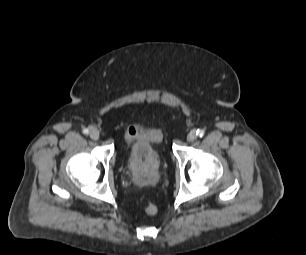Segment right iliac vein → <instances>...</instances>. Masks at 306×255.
I'll list each match as a JSON object with an SVG mask.
<instances>
[{"mask_svg":"<svg viewBox=\"0 0 306 255\" xmlns=\"http://www.w3.org/2000/svg\"><path fill=\"white\" fill-rule=\"evenodd\" d=\"M90 137H91V139H93V140H98L99 137H100V134H99L98 130L92 129V130L90 131Z\"/></svg>","mask_w":306,"mask_h":255,"instance_id":"obj_1","label":"right iliac vein"}]
</instances>
